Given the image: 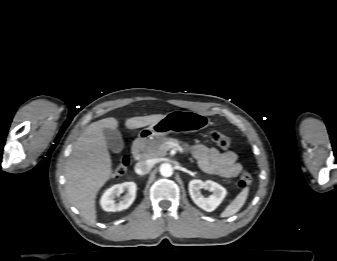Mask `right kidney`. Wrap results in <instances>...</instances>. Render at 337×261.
<instances>
[{
  "mask_svg": "<svg viewBox=\"0 0 337 261\" xmlns=\"http://www.w3.org/2000/svg\"><path fill=\"white\" fill-rule=\"evenodd\" d=\"M136 184L134 182H124L116 184L107 189L101 197L100 203L102 208L108 212H116L127 209L135 200ZM126 191L125 196L119 202L115 201L116 196Z\"/></svg>",
  "mask_w": 337,
  "mask_h": 261,
  "instance_id": "obj_1",
  "label": "right kidney"
}]
</instances>
